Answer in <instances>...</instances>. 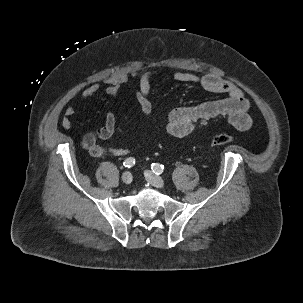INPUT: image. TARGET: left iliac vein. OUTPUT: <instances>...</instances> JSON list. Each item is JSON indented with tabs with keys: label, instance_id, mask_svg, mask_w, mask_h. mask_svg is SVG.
Wrapping results in <instances>:
<instances>
[{
	"label": "left iliac vein",
	"instance_id": "obj_1",
	"mask_svg": "<svg viewBox=\"0 0 303 303\" xmlns=\"http://www.w3.org/2000/svg\"><path fill=\"white\" fill-rule=\"evenodd\" d=\"M145 178L151 185H153L157 188H164L165 187L164 180L160 176H157L154 173H152L151 171H146L145 172Z\"/></svg>",
	"mask_w": 303,
	"mask_h": 303
}]
</instances>
